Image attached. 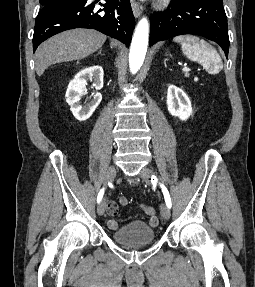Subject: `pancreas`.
Returning a JSON list of instances; mask_svg holds the SVG:
<instances>
[{
	"instance_id": "cf45deb5",
	"label": "pancreas",
	"mask_w": 255,
	"mask_h": 287,
	"mask_svg": "<svg viewBox=\"0 0 255 287\" xmlns=\"http://www.w3.org/2000/svg\"><path fill=\"white\" fill-rule=\"evenodd\" d=\"M185 78H189V74H188V72H186V74H185Z\"/></svg>"
}]
</instances>
